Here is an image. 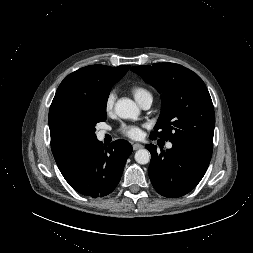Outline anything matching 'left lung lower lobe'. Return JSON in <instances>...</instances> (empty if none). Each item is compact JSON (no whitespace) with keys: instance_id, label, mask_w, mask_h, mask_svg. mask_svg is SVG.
Wrapping results in <instances>:
<instances>
[{"instance_id":"obj_1","label":"left lung lower lobe","mask_w":253,"mask_h":253,"mask_svg":"<svg viewBox=\"0 0 253 253\" xmlns=\"http://www.w3.org/2000/svg\"><path fill=\"white\" fill-rule=\"evenodd\" d=\"M151 153L148 174L155 190L162 196L177 198L189 193L203 178L212 153L190 145L173 144L171 149L156 151L147 144Z\"/></svg>"}]
</instances>
